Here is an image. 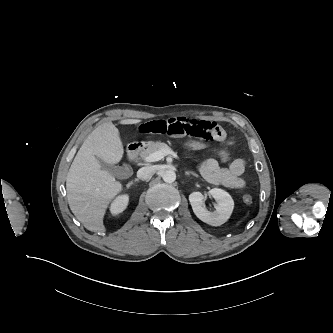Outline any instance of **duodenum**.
<instances>
[{
    "mask_svg": "<svg viewBox=\"0 0 333 333\" xmlns=\"http://www.w3.org/2000/svg\"><path fill=\"white\" fill-rule=\"evenodd\" d=\"M140 151V144H132L127 148V157L129 160H134Z\"/></svg>",
    "mask_w": 333,
    "mask_h": 333,
    "instance_id": "1",
    "label": "duodenum"
}]
</instances>
